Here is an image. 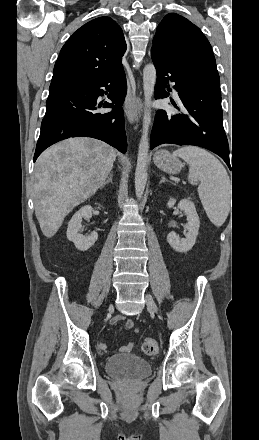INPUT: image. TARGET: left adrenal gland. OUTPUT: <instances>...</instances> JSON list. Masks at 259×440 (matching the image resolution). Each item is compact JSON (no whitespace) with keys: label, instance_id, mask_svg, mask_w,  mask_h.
<instances>
[{"label":"left adrenal gland","instance_id":"left-adrenal-gland-1","mask_svg":"<svg viewBox=\"0 0 259 440\" xmlns=\"http://www.w3.org/2000/svg\"><path fill=\"white\" fill-rule=\"evenodd\" d=\"M164 182H168V180L165 178V176L162 175L161 180H160V184L164 183Z\"/></svg>","mask_w":259,"mask_h":440}]
</instances>
